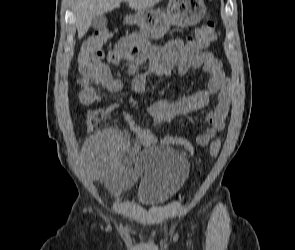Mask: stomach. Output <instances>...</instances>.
I'll return each instance as SVG.
<instances>
[{
    "instance_id": "obj_1",
    "label": "stomach",
    "mask_w": 295,
    "mask_h": 250,
    "mask_svg": "<svg viewBox=\"0 0 295 250\" xmlns=\"http://www.w3.org/2000/svg\"><path fill=\"white\" fill-rule=\"evenodd\" d=\"M206 14L203 0H169L166 11L141 9L125 18L126 24H136L140 32L150 39L164 36L171 25L188 27L199 23Z\"/></svg>"
}]
</instances>
